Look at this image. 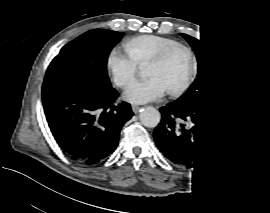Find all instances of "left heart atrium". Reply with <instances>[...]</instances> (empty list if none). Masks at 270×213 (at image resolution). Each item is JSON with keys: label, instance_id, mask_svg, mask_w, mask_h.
Wrapping results in <instances>:
<instances>
[{"label": "left heart atrium", "instance_id": "39dd6f15", "mask_svg": "<svg viewBox=\"0 0 270 213\" xmlns=\"http://www.w3.org/2000/svg\"><path fill=\"white\" fill-rule=\"evenodd\" d=\"M163 86L157 77H153L146 81L135 82L129 86L124 95L131 101L148 102L154 101L161 97Z\"/></svg>", "mask_w": 270, "mask_h": 213}]
</instances>
